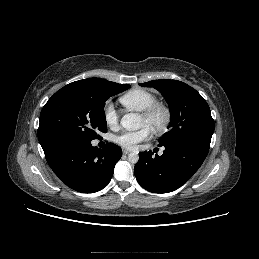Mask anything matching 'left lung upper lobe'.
Listing matches in <instances>:
<instances>
[{"instance_id":"obj_1","label":"left lung upper lobe","mask_w":259,"mask_h":259,"mask_svg":"<svg viewBox=\"0 0 259 259\" xmlns=\"http://www.w3.org/2000/svg\"><path fill=\"white\" fill-rule=\"evenodd\" d=\"M140 85L156 88L169 104V131L160 138L159 146L177 141H196L210 146L214 120L207 102L194 88L169 79Z\"/></svg>"}]
</instances>
